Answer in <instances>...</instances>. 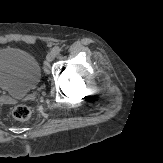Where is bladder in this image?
Masks as SVG:
<instances>
[{
	"instance_id": "31cf9c89",
	"label": "bladder",
	"mask_w": 163,
	"mask_h": 163,
	"mask_svg": "<svg viewBox=\"0 0 163 163\" xmlns=\"http://www.w3.org/2000/svg\"><path fill=\"white\" fill-rule=\"evenodd\" d=\"M41 78L38 60L17 48L0 50V90L21 97L37 86Z\"/></svg>"
}]
</instances>
